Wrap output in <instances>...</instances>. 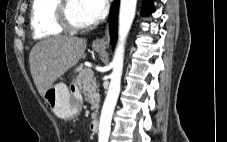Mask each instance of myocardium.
Listing matches in <instances>:
<instances>
[{
    "mask_svg": "<svg viewBox=\"0 0 227 142\" xmlns=\"http://www.w3.org/2000/svg\"><path fill=\"white\" fill-rule=\"evenodd\" d=\"M69 0H60L56 8V20L60 27L70 32H81L89 30L93 27V23L77 24L75 23L68 13Z\"/></svg>",
    "mask_w": 227,
    "mask_h": 142,
    "instance_id": "1",
    "label": "myocardium"
}]
</instances>
